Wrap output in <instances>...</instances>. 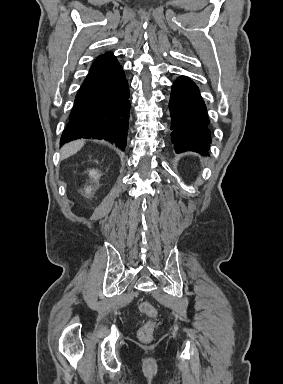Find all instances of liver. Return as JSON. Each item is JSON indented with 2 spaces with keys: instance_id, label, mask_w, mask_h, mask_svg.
Listing matches in <instances>:
<instances>
[{
  "instance_id": "obj_1",
  "label": "liver",
  "mask_w": 283,
  "mask_h": 384,
  "mask_svg": "<svg viewBox=\"0 0 283 384\" xmlns=\"http://www.w3.org/2000/svg\"><path fill=\"white\" fill-rule=\"evenodd\" d=\"M85 144V140H75V142H70V144H65L63 148H61V160H66L69 156H73L76 154L78 150H81Z\"/></svg>"
}]
</instances>
